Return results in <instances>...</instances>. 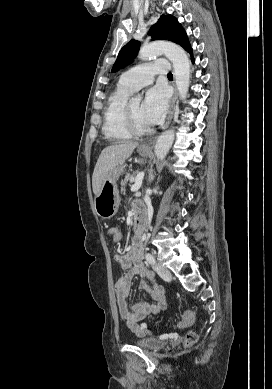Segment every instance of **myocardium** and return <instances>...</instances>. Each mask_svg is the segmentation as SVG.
Wrapping results in <instances>:
<instances>
[{
  "instance_id": "1",
  "label": "myocardium",
  "mask_w": 272,
  "mask_h": 389,
  "mask_svg": "<svg viewBox=\"0 0 272 389\" xmlns=\"http://www.w3.org/2000/svg\"><path fill=\"white\" fill-rule=\"evenodd\" d=\"M124 120H125V125L129 132L132 135L135 136H143L147 135L152 132L151 127H140L133 115L132 109H131V103H127L125 112H124Z\"/></svg>"
}]
</instances>
